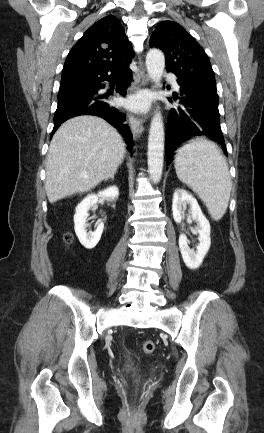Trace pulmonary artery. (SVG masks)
<instances>
[{
    "mask_svg": "<svg viewBox=\"0 0 264 433\" xmlns=\"http://www.w3.org/2000/svg\"><path fill=\"white\" fill-rule=\"evenodd\" d=\"M172 84H173V87H174L176 90L179 89V85H178V83H177L176 81H173Z\"/></svg>",
    "mask_w": 264,
    "mask_h": 433,
    "instance_id": "obj_1",
    "label": "pulmonary artery"
}]
</instances>
